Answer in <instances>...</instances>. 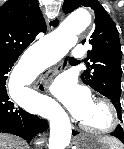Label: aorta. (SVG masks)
I'll use <instances>...</instances> for the list:
<instances>
[{
    "instance_id": "762f6f07",
    "label": "aorta",
    "mask_w": 124,
    "mask_h": 149,
    "mask_svg": "<svg viewBox=\"0 0 124 149\" xmlns=\"http://www.w3.org/2000/svg\"><path fill=\"white\" fill-rule=\"evenodd\" d=\"M91 23V16L85 9H79L70 14L57 29L45 36L32 52L21 61L13 71L11 83L19 79L24 84V77L31 71L28 65L47 50H54L60 55L66 54L77 43V34L85 30ZM50 121L49 149H65L71 139V124L68 115L62 107L52 99L47 100L45 113Z\"/></svg>"
}]
</instances>
